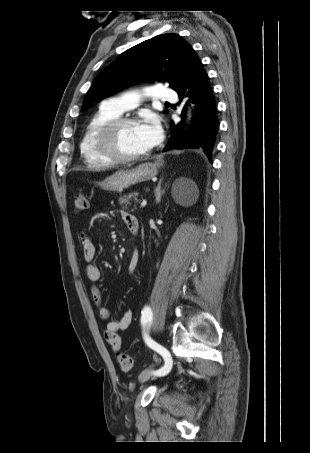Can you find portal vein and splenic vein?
<instances>
[{"instance_id":"portal-vein-and-splenic-vein-1","label":"portal vein and splenic vein","mask_w":310,"mask_h":453,"mask_svg":"<svg viewBox=\"0 0 310 453\" xmlns=\"http://www.w3.org/2000/svg\"><path fill=\"white\" fill-rule=\"evenodd\" d=\"M146 204H147V201H146V200H143V201L141 202V207H145Z\"/></svg>"}]
</instances>
